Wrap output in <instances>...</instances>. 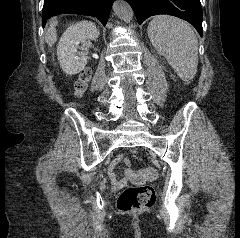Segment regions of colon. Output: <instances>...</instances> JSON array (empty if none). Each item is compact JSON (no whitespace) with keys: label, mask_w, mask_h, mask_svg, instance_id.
<instances>
[{"label":"colon","mask_w":240,"mask_h":238,"mask_svg":"<svg viewBox=\"0 0 240 238\" xmlns=\"http://www.w3.org/2000/svg\"><path fill=\"white\" fill-rule=\"evenodd\" d=\"M91 72L83 70L75 84L77 95L82 94L90 80ZM158 172L153 167H148L139 171L132 168L127 169L126 177L132 182L143 183L156 179ZM155 201V191L149 185H140L124 189L117 200V208L121 212L132 213L138 212L151 207Z\"/></svg>","instance_id":"1"}]
</instances>
